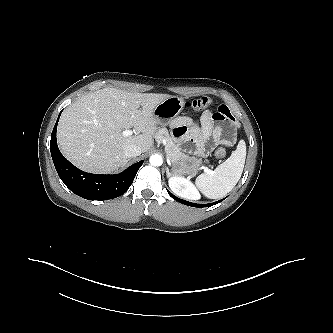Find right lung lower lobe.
<instances>
[{"label": "right lung lower lobe", "mask_w": 333, "mask_h": 333, "mask_svg": "<svg viewBox=\"0 0 333 333\" xmlns=\"http://www.w3.org/2000/svg\"><path fill=\"white\" fill-rule=\"evenodd\" d=\"M59 117L52 131L50 151L56 171L63 183L73 193L88 200L102 201L124 194L133 183L143 161L133 164L117 175L91 174L76 168L61 154L57 146L56 130Z\"/></svg>", "instance_id": "98d812e1"}]
</instances>
